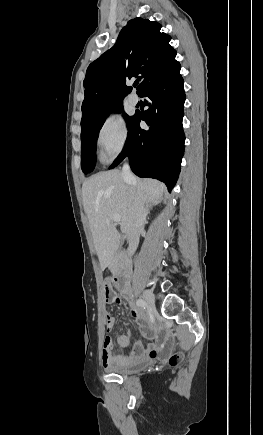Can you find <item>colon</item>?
<instances>
[{
  "mask_svg": "<svg viewBox=\"0 0 263 435\" xmlns=\"http://www.w3.org/2000/svg\"><path fill=\"white\" fill-rule=\"evenodd\" d=\"M105 299L108 301H118L119 298L116 296L109 288V285H105ZM103 350H113L115 348V343L111 341L109 337L105 338L102 343ZM181 359L180 354H174L170 357L169 363L170 365H176Z\"/></svg>",
  "mask_w": 263,
  "mask_h": 435,
  "instance_id": "5ec220e1",
  "label": "colon"
}]
</instances>
